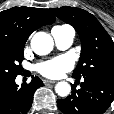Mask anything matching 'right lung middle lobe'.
<instances>
[{"instance_id":"obj_1","label":"right lung middle lobe","mask_w":114,"mask_h":114,"mask_svg":"<svg viewBox=\"0 0 114 114\" xmlns=\"http://www.w3.org/2000/svg\"><path fill=\"white\" fill-rule=\"evenodd\" d=\"M24 45L0 40V81L16 78L21 73Z\"/></svg>"}]
</instances>
